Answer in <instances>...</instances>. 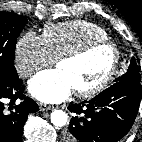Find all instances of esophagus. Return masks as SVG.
<instances>
[{
    "label": "esophagus",
    "mask_w": 142,
    "mask_h": 142,
    "mask_svg": "<svg viewBox=\"0 0 142 142\" xmlns=\"http://www.w3.org/2000/svg\"><path fill=\"white\" fill-rule=\"evenodd\" d=\"M39 109H40V111L43 112V111L53 110L54 107L50 106V105L42 104V105H40Z\"/></svg>",
    "instance_id": "34e87169"
}]
</instances>
